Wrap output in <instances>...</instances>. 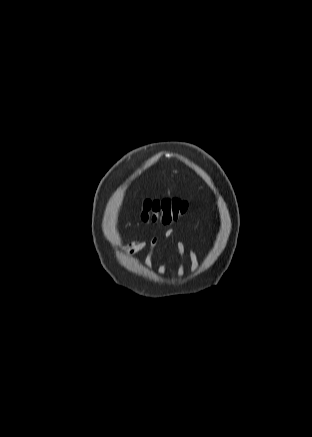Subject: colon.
<instances>
[{
    "mask_svg": "<svg viewBox=\"0 0 312 437\" xmlns=\"http://www.w3.org/2000/svg\"><path fill=\"white\" fill-rule=\"evenodd\" d=\"M189 207L188 202L180 199H147L143 202L141 218L144 222L169 224L183 217Z\"/></svg>",
    "mask_w": 312,
    "mask_h": 437,
    "instance_id": "obj_1",
    "label": "colon"
}]
</instances>
